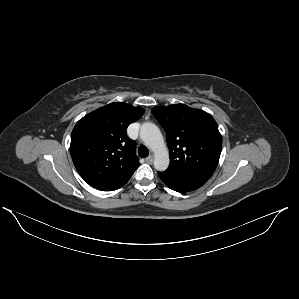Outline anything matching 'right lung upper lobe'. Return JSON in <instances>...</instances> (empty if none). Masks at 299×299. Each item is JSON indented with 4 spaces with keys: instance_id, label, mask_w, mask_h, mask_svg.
Returning a JSON list of instances; mask_svg holds the SVG:
<instances>
[{
    "instance_id": "obj_1",
    "label": "right lung upper lobe",
    "mask_w": 299,
    "mask_h": 299,
    "mask_svg": "<svg viewBox=\"0 0 299 299\" xmlns=\"http://www.w3.org/2000/svg\"><path fill=\"white\" fill-rule=\"evenodd\" d=\"M144 114L140 107L114 102L101 107L75 125L70 153L80 176L92 187L130 179L138 168L136 144L126 129Z\"/></svg>"
}]
</instances>
